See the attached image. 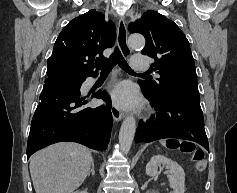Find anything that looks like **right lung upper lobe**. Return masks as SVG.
I'll use <instances>...</instances> for the list:
<instances>
[{
  "instance_id": "1",
  "label": "right lung upper lobe",
  "mask_w": 237,
  "mask_h": 193,
  "mask_svg": "<svg viewBox=\"0 0 237 193\" xmlns=\"http://www.w3.org/2000/svg\"><path fill=\"white\" fill-rule=\"evenodd\" d=\"M115 42V25L105 22V17L96 10H90L73 20L61 31L52 56L48 59L47 71L57 70L77 78L95 75V56L105 61L104 49Z\"/></svg>"
}]
</instances>
